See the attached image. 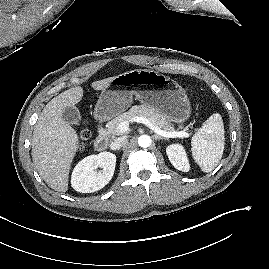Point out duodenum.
<instances>
[{"label": "duodenum", "instance_id": "obj_1", "mask_svg": "<svg viewBox=\"0 0 269 269\" xmlns=\"http://www.w3.org/2000/svg\"><path fill=\"white\" fill-rule=\"evenodd\" d=\"M108 140V135L106 134L104 125L100 124L98 128V135L94 141V148L97 151H104L107 148Z\"/></svg>", "mask_w": 269, "mask_h": 269}]
</instances>
